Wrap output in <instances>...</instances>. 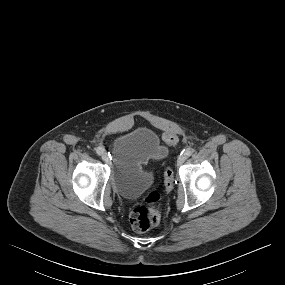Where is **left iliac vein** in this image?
Wrapping results in <instances>:
<instances>
[{
	"label": "left iliac vein",
	"mask_w": 285,
	"mask_h": 285,
	"mask_svg": "<svg viewBox=\"0 0 285 285\" xmlns=\"http://www.w3.org/2000/svg\"><path fill=\"white\" fill-rule=\"evenodd\" d=\"M186 159H187V156H186V155H184V154H183V155H179V156H178V159H177V164H178V165L183 164Z\"/></svg>",
	"instance_id": "4c4485c4"
}]
</instances>
